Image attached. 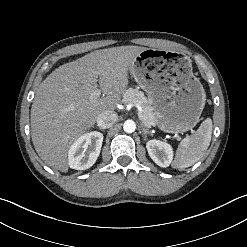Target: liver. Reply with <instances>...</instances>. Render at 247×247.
Returning a JSON list of instances; mask_svg holds the SVG:
<instances>
[{
	"instance_id": "liver-1",
	"label": "liver",
	"mask_w": 247,
	"mask_h": 247,
	"mask_svg": "<svg viewBox=\"0 0 247 247\" xmlns=\"http://www.w3.org/2000/svg\"><path fill=\"white\" fill-rule=\"evenodd\" d=\"M146 49L130 45L93 51L58 67L39 85L31 107V137L45 164L68 171L70 146L101 113L116 109L131 65ZM98 81L105 96L91 99Z\"/></svg>"
}]
</instances>
